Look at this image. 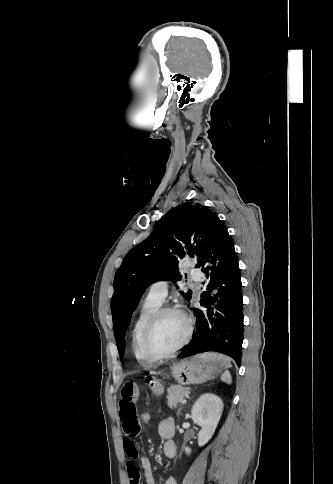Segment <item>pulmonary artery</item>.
<instances>
[{"label":"pulmonary artery","instance_id":"pulmonary-artery-1","mask_svg":"<svg viewBox=\"0 0 333 484\" xmlns=\"http://www.w3.org/2000/svg\"><path fill=\"white\" fill-rule=\"evenodd\" d=\"M192 279L198 282L201 279V275L197 270L191 272ZM168 292L167 281H157L151 285L148 291L147 297L158 303H163Z\"/></svg>","mask_w":333,"mask_h":484}]
</instances>
